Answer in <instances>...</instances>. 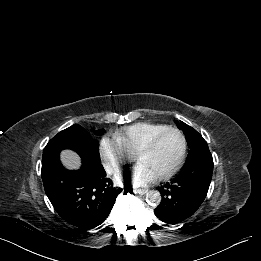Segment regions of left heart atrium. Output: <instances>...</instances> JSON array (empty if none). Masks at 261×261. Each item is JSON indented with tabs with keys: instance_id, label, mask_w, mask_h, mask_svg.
Returning <instances> with one entry per match:
<instances>
[{
	"instance_id": "obj_1",
	"label": "left heart atrium",
	"mask_w": 261,
	"mask_h": 261,
	"mask_svg": "<svg viewBox=\"0 0 261 261\" xmlns=\"http://www.w3.org/2000/svg\"><path fill=\"white\" fill-rule=\"evenodd\" d=\"M155 179L156 176L146 166L138 162L129 174L120 176L118 181H127L136 186H144Z\"/></svg>"
}]
</instances>
